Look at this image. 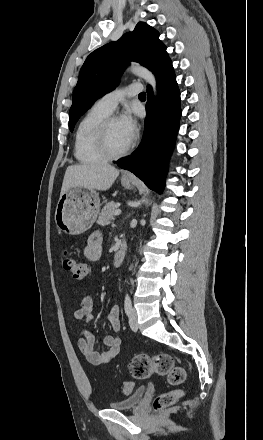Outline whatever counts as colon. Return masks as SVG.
Returning a JSON list of instances; mask_svg holds the SVG:
<instances>
[{"instance_id": "colon-1", "label": "colon", "mask_w": 263, "mask_h": 440, "mask_svg": "<svg viewBox=\"0 0 263 440\" xmlns=\"http://www.w3.org/2000/svg\"><path fill=\"white\" fill-rule=\"evenodd\" d=\"M62 262L64 269L78 280H84L89 274L88 266L84 262L71 257L67 251L62 253ZM129 371L132 377L138 380L147 379L153 373L166 376L168 383L174 387H179L186 379L185 369L176 365L173 358L167 353H157L153 356L136 355L129 363ZM121 391L124 394L131 393L132 383L124 382L121 385ZM181 396L182 391L180 389L162 393L155 398L153 402L154 409H166L175 404Z\"/></svg>"}]
</instances>
